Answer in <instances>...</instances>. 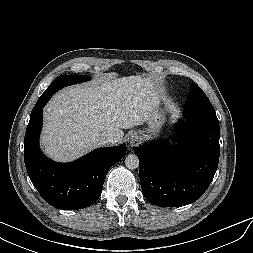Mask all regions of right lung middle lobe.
<instances>
[{"instance_id":"right-lung-middle-lobe-1","label":"right lung middle lobe","mask_w":253,"mask_h":253,"mask_svg":"<svg viewBox=\"0 0 253 253\" xmlns=\"http://www.w3.org/2000/svg\"><path fill=\"white\" fill-rule=\"evenodd\" d=\"M89 79H90V77L85 76V75H79V76L61 75V76H59L57 79H55L49 85V87L45 90V92L40 96V98L38 99V101L35 104L31 113L35 112L39 107L45 105L48 102V100L51 98V96L55 92H57L58 90L62 89L64 86L87 81Z\"/></svg>"}]
</instances>
